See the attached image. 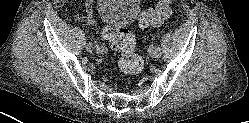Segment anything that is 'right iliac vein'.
Returning <instances> with one entry per match:
<instances>
[{
  "mask_svg": "<svg viewBox=\"0 0 249 123\" xmlns=\"http://www.w3.org/2000/svg\"><path fill=\"white\" fill-rule=\"evenodd\" d=\"M86 50H87L88 52H92V51L94 50V46H93V44H92L91 42H88V43L86 44Z\"/></svg>",
  "mask_w": 249,
  "mask_h": 123,
  "instance_id": "63e3f726",
  "label": "right iliac vein"
}]
</instances>
